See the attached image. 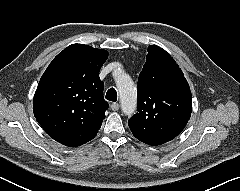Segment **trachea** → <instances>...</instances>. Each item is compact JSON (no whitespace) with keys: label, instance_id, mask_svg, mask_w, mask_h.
I'll use <instances>...</instances> for the list:
<instances>
[{"label":"trachea","instance_id":"trachea-1","mask_svg":"<svg viewBox=\"0 0 240 191\" xmlns=\"http://www.w3.org/2000/svg\"><path fill=\"white\" fill-rule=\"evenodd\" d=\"M105 98L109 101L115 102L117 101V92L114 88H110L107 93Z\"/></svg>","mask_w":240,"mask_h":191}]
</instances>
